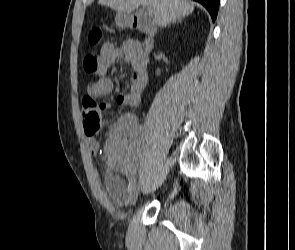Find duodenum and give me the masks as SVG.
<instances>
[{
  "label": "duodenum",
  "instance_id": "duodenum-1",
  "mask_svg": "<svg viewBox=\"0 0 295 250\" xmlns=\"http://www.w3.org/2000/svg\"><path fill=\"white\" fill-rule=\"evenodd\" d=\"M124 22L128 27L143 32L146 38L143 42V56L140 59L139 75L142 80L147 79L146 71V53L151 51L155 44L156 27L154 23L141 15L127 14L124 17Z\"/></svg>",
  "mask_w": 295,
  "mask_h": 250
}]
</instances>
